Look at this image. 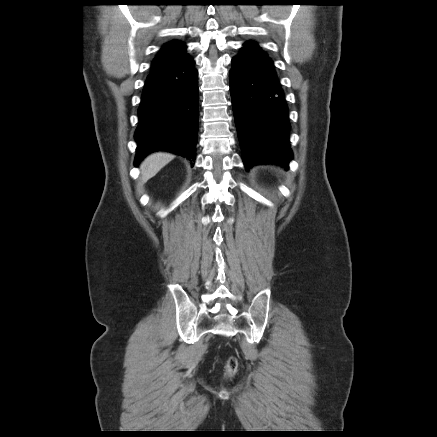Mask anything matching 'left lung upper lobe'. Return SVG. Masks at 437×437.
Segmentation results:
<instances>
[{
	"label": "left lung upper lobe",
	"mask_w": 437,
	"mask_h": 437,
	"mask_svg": "<svg viewBox=\"0 0 437 437\" xmlns=\"http://www.w3.org/2000/svg\"><path fill=\"white\" fill-rule=\"evenodd\" d=\"M247 43L250 44V45H252V46H255V47L261 49V48L258 46V44L255 43V42H253V41H249V42H247Z\"/></svg>",
	"instance_id": "obj_1"
}]
</instances>
